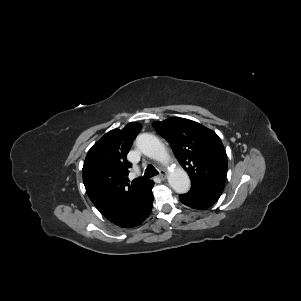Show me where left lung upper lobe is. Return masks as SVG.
Instances as JSON below:
<instances>
[{
	"instance_id": "obj_1",
	"label": "left lung upper lobe",
	"mask_w": 301,
	"mask_h": 301,
	"mask_svg": "<svg viewBox=\"0 0 301 301\" xmlns=\"http://www.w3.org/2000/svg\"><path fill=\"white\" fill-rule=\"evenodd\" d=\"M152 125L170 143L175 157L189 174L191 184L223 191L227 155L215 132L179 117L156 121Z\"/></svg>"
}]
</instances>
